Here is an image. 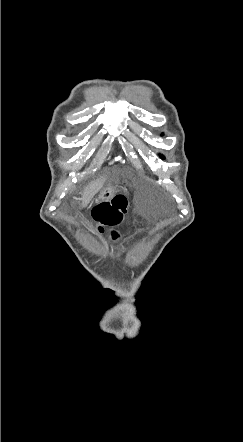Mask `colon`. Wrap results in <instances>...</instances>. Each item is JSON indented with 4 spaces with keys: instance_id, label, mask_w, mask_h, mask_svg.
<instances>
[{
    "instance_id": "colon-1",
    "label": "colon",
    "mask_w": 243,
    "mask_h": 442,
    "mask_svg": "<svg viewBox=\"0 0 243 442\" xmlns=\"http://www.w3.org/2000/svg\"><path fill=\"white\" fill-rule=\"evenodd\" d=\"M127 206L128 201L126 197L122 194H117L110 200L103 201L95 206L90 222L95 224L99 229H103V227H118L125 220ZM113 239H119L117 232L113 233Z\"/></svg>"
}]
</instances>
